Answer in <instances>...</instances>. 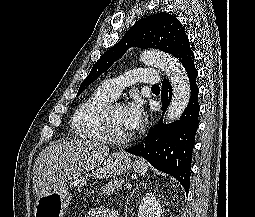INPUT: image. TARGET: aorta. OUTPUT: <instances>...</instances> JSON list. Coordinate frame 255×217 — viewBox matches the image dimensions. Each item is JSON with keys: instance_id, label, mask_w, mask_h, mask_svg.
Masks as SVG:
<instances>
[{"instance_id": "762f6f07", "label": "aorta", "mask_w": 255, "mask_h": 217, "mask_svg": "<svg viewBox=\"0 0 255 217\" xmlns=\"http://www.w3.org/2000/svg\"><path fill=\"white\" fill-rule=\"evenodd\" d=\"M141 60L147 65L160 68L169 78L173 88V97L166 112V122H174L185 111L191 96L190 82L185 69L177 59L157 50L144 51Z\"/></svg>"}]
</instances>
